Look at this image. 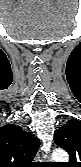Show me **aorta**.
<instances>
[{"instance_id": "1", "label": "aorta", "mask_w": 81, "mask_h": 167, "mask_svg": "<svg viewBox=\"0 0 81 167\" xmlns=\"http://www.w3.org/2000/svg\"><path fill=\"white\" fill-rule=\"evenodd\" d=\"M52 158L56 162H68L69 157L66 151L62 149H56L52 153Z\"/></svg>"}]
</instances>
